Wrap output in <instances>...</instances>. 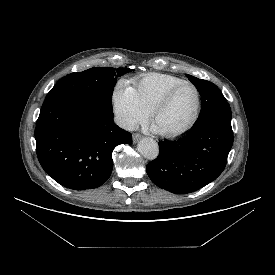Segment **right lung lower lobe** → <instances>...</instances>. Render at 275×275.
I'll use <instances>...</instances> for the list:
<instances>
[{"label":"right lung lower lobe","instance_id":"1","mask_svg":"<svg viewBox=\"0 0 275 275\" xmlns=\"http://www.w3.org/2000/svg\"><path fill=\"white\" fill-rule=\"evenodd\" d=\"M35 139L46 173L74 190L104 184L113 169V149L132 143L131 133L114 124L112 108L81 96L44 101Z\"/></svg>","mask_w":275,"mask_h":275}]
</instances>
